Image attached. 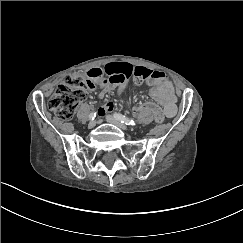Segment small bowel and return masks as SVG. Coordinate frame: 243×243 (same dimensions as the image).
<instances>
[{
	"mask_svg": "<svg viewBox=\"0 0 243 243\" xmlns=\"http://www.w3.org/2000/svg\"><path fill=\"white\" fill-rule=\"evenodd\" d=\"M88 76L95 80L101 87L100 97L116 86H122L127 78L133 76L137 80H145L148 84L154 85L151 95L163 107L166 117H173L177 112L176 96L173 84L167 76L160 72L145 67L133 66L126 62L109 63L101 68H93L88 71ZM113 104L108 103L100 109V114L111 111Z\"/></svg>",
	"mask_w": 243,
	"mask_h": 243,
	"instance_id": "obj_1",
	"label": "small bowel"
}]
</instances>
